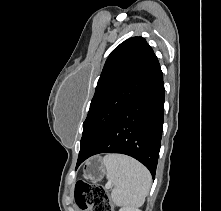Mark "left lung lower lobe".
<instances>
[{"instance_id": "1", "label": "left lung lower lobe", "mask_w": 221, "mask_h": 211, "mask_svg": "<svg viewBox=\"0 0 221 211\" xmlns=\"http://www.w3.org/2000/svg\"><path fill=\"white\" fill-rule=\"evenodd\" d=\"M164 83L157 61L141 89L126 105L94 147L77 161V167L99 153H121L144 164L155 177L163 130Z\"/></svg>"}]
</instances>
